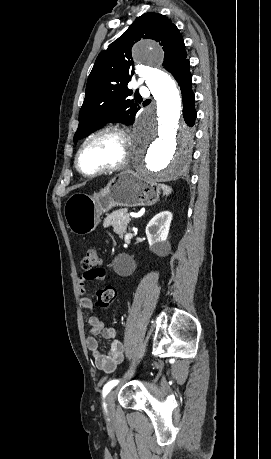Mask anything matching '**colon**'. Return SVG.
Masks as SVG:
<instances>
[{"mask_svg": "<svg viewBox=\"0 0 271 459\" xmlns=\"http://www.w3.org/2000/svg\"><path fill=\"white\" fill-rule=\"evenodd\" d=\"M101 264V257L94 248H89L81 261V267L85 272L97 270ZM114 297L115 293L112 288H104L96 293V304L101 309H107L111 306Z\"/></svg>", "mask_w": 271, "mask_h": 459, "instance_id": "5ec220e1", "label": "colon"}]
</instances>
